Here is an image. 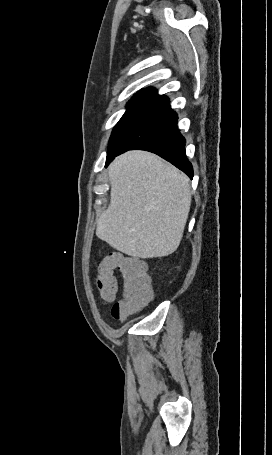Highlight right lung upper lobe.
<instances>
[{"label": "right lung upper lobe", "instance_id": "obj_1", "mask_svg": "<svg viewBox=\"0 0 272 455\" xmlns=\"http://www.w3.org/2000/svg\"><path fill=\"white\" fill-rule=\"evenodd\" d=\"M132 100L159 102L169 105L168 97L165 95H158L154 88L142 89L132 97L131 101Z\"/></svg>", "mask_w": 272, "mask_h": 455}]
</instances>
